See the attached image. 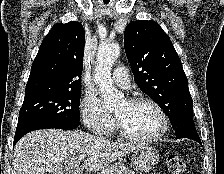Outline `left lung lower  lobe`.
Listing matches in <instances>:
<instances>
[{
	"label": "left lung lower lobe",
	"instance_id": "left-lung-lower-lobe-1",
	"mask_svg": "<svg viewBox=\"0 0 224 174\" xmlns=\"http://www.w3.org/2000/svg\"><path fill=\"white\" fill-rule=\"evenodd\" d=\"M174 130H175L177 139L189 138V139L195 140L196 142L202 145L201 140L197 134L193 120L191 119L182 120L176 126V128H174Z\"/></svg>",
	"mask_w": 224,
	"mask_h": 174
}]
</instances>
